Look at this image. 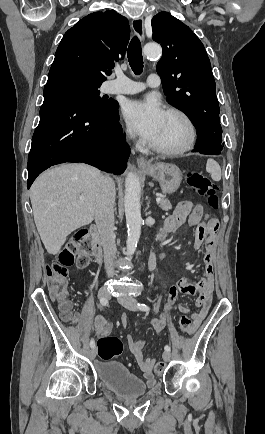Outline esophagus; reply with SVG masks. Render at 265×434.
<instances>
[{
	"instance_id": "34e87169",
	"label": "esophagus",
	"mask_w": 265,
	"mask_h": 434,
	"mask_svg": "<svg viewBox=\"0 0 265 434\" xmlns=\"http://www.w3.org/2000/svg\"><path fill=\"white\" fill-rule=\"evenodd\" d=\"M132 29L135 35H137V37L139 38V40L143 41L145 39L144 21L142 17H135L132 20ZM137 165L138 167L144 168L150 166L149 162H147V160L142 156L138 157Z\"/></svg>"
}]
</instances>
